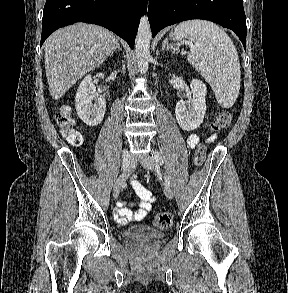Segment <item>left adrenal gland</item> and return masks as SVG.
Masks as SVG:
<instances>
[{"mask_svg": "<svg viewBox=\"0 0 288 293\" xmlns=\"http://www.w3.org/2000/svg\"><path fill=\"white\" fill-rule=\"evenodd\" d=\"M170 50V51H172L173 53L176 51L175 50V48H173V46H171L169 43H168V39H165L164 41H163V44H162V51H164V50Z\"/></svg>", "mask_w": 288, "mask_h": 293, "instance_id": "a2214340", "label": "left adrenal gland"}]
</instances>
